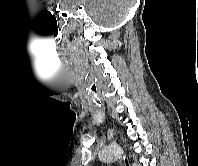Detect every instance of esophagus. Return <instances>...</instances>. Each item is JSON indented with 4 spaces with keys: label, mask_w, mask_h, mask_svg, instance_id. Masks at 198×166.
Returning a JSON list of instances; mask_svg holds the SVG:
<instances>
[{
    "label": "esophagus",
    "mask_w": 198,
    "mask_h": 166,
    "mask_svg": "<svg viewBox=\"0 0 198 166\" xmlns=\"http://www.w3.org/2000/svg\"><path fill=\"white\" fill-rule=\"evenodd\" d=\"M122 161H123L124 166H130L129 158L127 157V155L124 154L122 156Z\"/></svg>",
    "instance_id": "esophagus-1"
}]
</instances>
